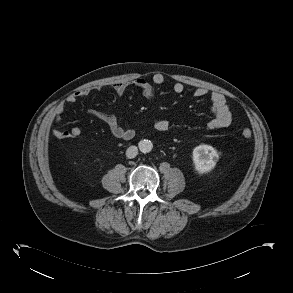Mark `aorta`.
<instances>
[{"instance_id": "aorta-1", "label": "aorta", "mask_w": 293, "mask_h": 293, "mask_svg": "<svg viewBox=\"0 0 293 293\" xmlns=\"http://www.w3.org/2000/svg\"><path fill=\"white\" fill-rule=\"evenodd\" d=\"M138 146L142 153H149L153 148L152 142L147 139L141 140Z\"/></svg>"}]
</instances>
